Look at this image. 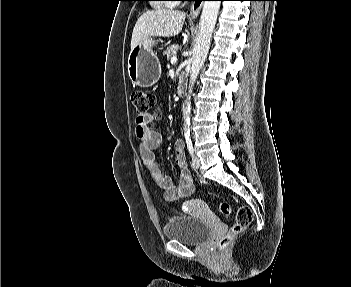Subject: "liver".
<instances>
[{"label": "liver", "instance_id": "6515ba94", "mask_svg": "<svg viewBox=\"0 0 351 287\" xmlns=\"http://www.w3.org/2000/svg\"><path fill=\"white\" fill-rule=\"evenodd\" d=\"M186 15L171 9H158L143 13L137 20L131 39V50L143 39L149 37H173L183 27Z\"/></svg>", "mask_w": 351, "mask_h": 287}]
</instances>
